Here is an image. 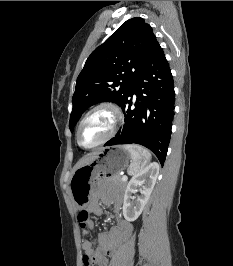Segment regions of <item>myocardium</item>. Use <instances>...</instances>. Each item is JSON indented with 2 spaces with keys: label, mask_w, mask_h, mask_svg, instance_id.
Instances as JSON below:
<instances>
[{
  "label": "myocardium",
  "mask_w": 233,
  "mask_h": 266,
  "mask_svg": "<svg viewBox=\"0 0 233 266\" xmlns=\"http://www.w3.org/2000/svg\"><path fill=\"white\" fill-rule=\"evenodd\" d=\"M102 109H106L112 112L113 114V124L112 127L109 131V133L99 142L91 145V146H86L84 145L81 140H80V132H81V128L83 126V124L85 123V121L95 112L102 110ZM124 120V114L122 112V109L120 108V106L114 102H110V101H104L101 102L97 105H95L93 108H91L86 114L85 116L81 119L77 131H76V139L78 144L85 148V149H93L96 148L98 146H101L103 144H105L106 142H108L109 140H111L118 132V130L120 129L122 123Z\"/></svg>",
  "instance_id": "f54148a6"
}]
</instances>
